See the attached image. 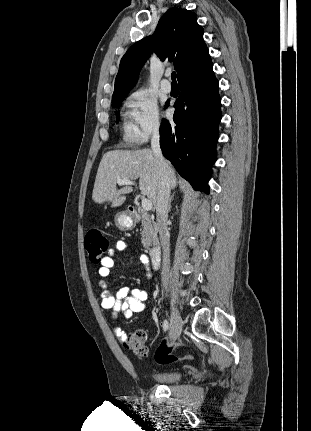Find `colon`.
<instances>
[{"mask_svg": "<svg viewBox=\"0 0 311 431\" xmlns=\"http://www.w3.org/2000/svg\"><path fill=\"white\" fill-rule=\"evenodd\" d=\"M85 249L89 260L92 263H101L105 253L109 250L108 239L98 230L90 231L85 239ZM146 333L143 330H136L126 337L123 341L124 347L138 356L147 354ZM175 345H169L168 340L164 339L155 352V361L158 364H169L176 361L191 360V355L176 356L172 353Z\"/></svg>", "mask_w": 311, "mask_h": 431, "instance_id": "1", "label": "colon"}]
</instances>
